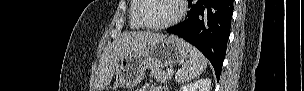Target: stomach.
I'll return each mask as SVG.
<instances>
[{
  "mask_svg": "<svg viewBox=\"0 0 304 91\" xmlns=\"http://www.w3.org/2000/svg\"><path fill=\"white\" fill-rule=\"evenodd\" d=\"M189 56L186 42L176 36L152 38L143 48L125 54L118 64V82L131 89L141 82L147 68L182 64Z\"/></svg>",
  "mask_w": 304,
  "mask_h": 91,
  "instance_id": "stomach-1",
  "label": "stomach"
}]
</instances>
